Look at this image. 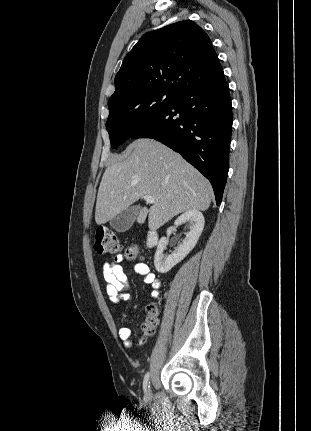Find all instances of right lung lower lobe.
<instances>
[{
	"label": "right lung lower lobe",
	"instance_id": "98d812e1",
	"mask_svg": "<svg viewBox=\"0 0 311 431\" xmlns=\"http://www.w3.org/2000/svg\"><path fill=\"white\" fill-rule=\"evenodd\" d=\"M231 130V98L222 71L180 92L131 138H152L180 153L209 179L219 205L229 169Z\"/></svg>",
	"mask_w": 311,
	"mask_h": 431
}]
</instances>
